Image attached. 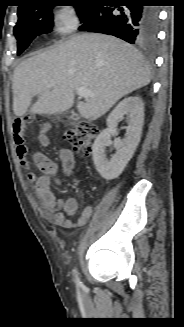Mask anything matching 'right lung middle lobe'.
I'll list each match as a JSON object with an SVG mask.
<instances>
[{
	"label": "right lung middle lobe",
	"instance_id": "obj_1",
	"mask_svg": "<svg viewBox=\"0 0 184 327\" xmlns=\"http://www.w3.org/2000/svg\"><path fill=\"white\" fill-rule=\"evenodd\" d=\"M44 3L45 1H41L18 11L19 19L14 28V35L17 39V55H20L37 35L51 31L53 6L44 5ZM93 7L92 4L75 6L81 21Z\"/></svg>",
	"mask_w": 184,
	"mask_h": 327
}]
</instances>
